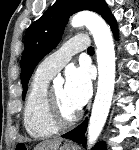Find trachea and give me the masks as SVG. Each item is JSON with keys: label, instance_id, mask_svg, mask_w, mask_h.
<instances>
[{"label": "trachea", "instance_id": "3493384b", "mask_svg": "<svg viewBox=\"0 0 139 150\" xmlns=\"http://www.w3.org/2000/svg\"><path fill=\"white\" fill-rule=\"evenodd\" d=\"M87 51H88V53H92V52H94V48L93 47H89Z\"/></svg>", "mask_w": 139, "mask_h": 150}]
</instances>
